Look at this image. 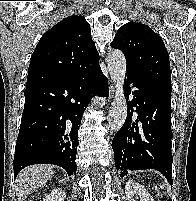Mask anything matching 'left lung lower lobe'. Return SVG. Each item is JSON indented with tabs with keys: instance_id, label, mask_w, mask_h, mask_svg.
Returning a JSON list of instances; mask_svg holds the SVG:
<instances>
[{
	"instance_id": "obj_1",
	"label": "left lung lower lobe",
	"mask_w": 196,
	"mask_h": 201,
	"mask_svg": "<svg viewBox=\"0 0 196 201\" xmlns=\"http://www.w3.org/2000/svg\"><path fill=\"white\" fill-rule=\"evenodd\" d=\"M131 87L133 99L127 102V118L112 141L115 167L120 177L132 170L155 169L172 185L171 91L126 72L127 97Z\"/></svg>"
}]
</instances>
